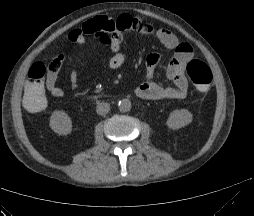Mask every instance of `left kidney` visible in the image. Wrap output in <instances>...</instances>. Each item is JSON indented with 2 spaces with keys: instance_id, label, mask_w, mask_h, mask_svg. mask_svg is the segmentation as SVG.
Segmentation results:
<instances>
[{
  "instance_id": "obj_1",
  "label": "left kidney",
  "mask_w": 254,
  "mask_h": 216,
  "mask_svg": "<svg viewBox=\"0 0 254 216\" xmlns=\"http://www.w3.org/2000/svg\"><path fill=\"white\" fill-rule=\"evenodd\" d=\"M193 120V114L187 109L174 110L166 121L170 129L176 130L187 126Z\"/></svg>"
}]
</instances>
